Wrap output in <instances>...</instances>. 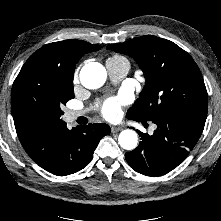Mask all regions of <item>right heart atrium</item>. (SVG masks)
<instances>
[{
	"label": "right heart atrium",
	"mask_w": 221,
	"mask_h": 221,
	"mask_svg": "<svg viewBox=\"0 0 221 221\" xmlns=\"http://www.w3.org/2000/svg\"><path fill=\"white\" fill-rule=\"evenodd\" d=\"M77 79H78V72L76 71L74 74V81H77Z\"/></svg>",
	"instance_id": "obj_1"
}]
</instances>
